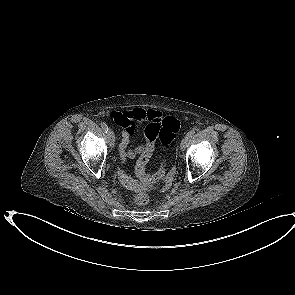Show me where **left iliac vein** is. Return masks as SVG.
Listing matches in <instances>:
<instances>
[{
    "label": "left iliac vein",
    "instance_id": "4c4485c4",
    "mask_svg": "<svg viewBox=\"0 0 295 295\" xmlns=\"http://www.w3.org/2000/svg\"><path fill=\"white\" fill-rule=\"evenodd\" d=\"M189 141H190V138L186 135L180 143V149L184 150L187 147V145L189 144Z\"/></svg>",
    "mask_w": 295,
    "mask_h": 295
}]
</instances>
